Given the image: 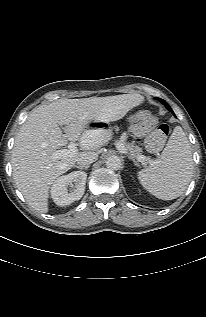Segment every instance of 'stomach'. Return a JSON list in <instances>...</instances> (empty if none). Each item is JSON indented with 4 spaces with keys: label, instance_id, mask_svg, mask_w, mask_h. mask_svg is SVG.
Here are the masks:
<instances>
[{
    "label": "stomach",
    "instance_id": "obj_1",
    "mask_svg": "<svg viewBox=\"0 0 206 317\" xmlns=\"http://www.w3.org/2000/svg\"><path fill=\"white\" fill-rule=\"evenodd\" d=\"M124 129L131 134L128 136L127 142L140 148L143 145V136L148 132V126L145 122H140L136 118V114L130 113L124 117ZM114 130L111 125L103 123L99 120H93L84 128L81 141L84 146L93 148L99 142H107L112 139Z\"/></svg>",
    "mask_w": 206,
    "mask_h": 317
}]
</instances>
